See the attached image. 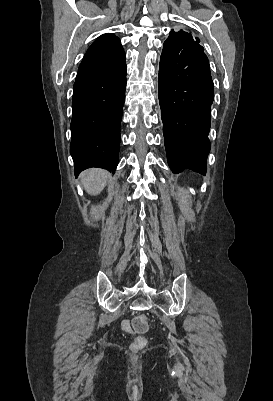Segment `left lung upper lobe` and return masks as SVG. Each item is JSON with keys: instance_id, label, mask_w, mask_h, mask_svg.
Listing matches in <instances>:
<instances>
[{"instance_id": "1", "label": "left lung upper lobe", "mask_w": 273, "mask_h": 401, "mask_svg": "<svg viewBox=\"0 0 273 401\" xmlns=\"http://www.w3.org/2000/svg\"><path fill=\"white\" fill-rule=\"evenodd\" d=\"M193 39L196 42H199V39L194 37L191 33H188L186 31L180 30L178 32H175L174 30H171L169 37L166 41L168 42H178V41H185Z\"/></svg>"}]
</instances>
